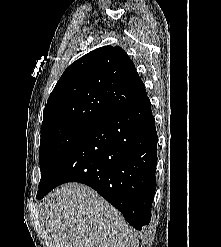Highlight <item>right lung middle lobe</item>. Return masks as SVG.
<instances>
[{"mask_svg":"<svg viewBox=\"0 0 221 247\" xmlns=\"http://www.w3.org/2000/svg\"><path fill=\"white\" fill-rule=\"evenodd\" d=\"M92 127L94 125L70 123L56 128L41 130L39 149L41 180L38 187L39 190L49 179L66 153Z\"/></svg>","mask_w":221,"mask_h":247,"instance_id":"obj_1","label":"right lung middle lobe"}]
</instances>
